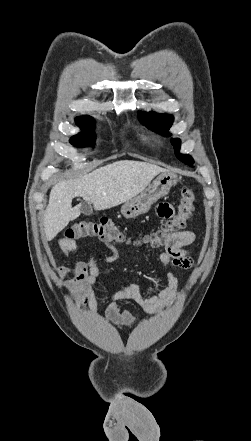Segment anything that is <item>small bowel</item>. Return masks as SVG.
Returning <instances> with one entry per match:
<instances>
[{"label": "small bowel", "instance_id": "obj_1", "mask_svg": "<svg viewBox=\"0 0 251 441\" xmlns=\"http://www.w3.org/2000/svg\"><path fill=\"white\" fill-rule=\"evenodd\" d=\"M157 212L160 217L169 218L173 209L167 203L160 204ZM196 239L193 231L183 230L176 232L162 245H142L140 250L158 252V261L166 268L167 285L158 293L151 296H144L138 284L132 283L126 287L110 294V302L106 308V318L115 326H133L139 322L129 310L120 306L122 300H129L136 303L140 308L149 314H155L171 305L179 296V280L171 268L190 269L193 267V259L185 250ZM62 250L68 256H79L82 254L80 247L72 240L60 241ZM118 260V254L113 252L109 255L99 256L91 254L87 261H77L71 266L56 265L55 270L61 276H68L67 287L69 291L77 295L76 304L79 309L88 308L91 313L99 317L98 302L95 296V286L98 283L101 271L99 264L114 263Z\"/></svg>", "mask_w": 251, "mask_h": 441}]
</instances>
